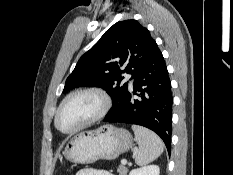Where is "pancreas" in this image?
I'll return each instance as SVG.
<instances>
[{
    "mask_svg": "<svg viewBox=\"0 0 233 175\" xmlns=\"http://www.w3.org/2000/svg\"><path fill=\"white\" fill-rule=\"evenodd\" d=\"M117 172L119 173V175H127L128 168L125 167L124 165H121V166H119V168L117 169Z\"/></svg>",
    "mask_w": 233,
    "mask_h": 175,
    "instance_id": "pancreas-1",
    "label": "pancreas"
}]
</instances>
